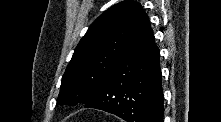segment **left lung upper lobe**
<instances>
[{"instance_id": "5c2ea615", "label": "left lung upper lobe", "mask_w": 221, "mask_h": 122, "mask_svg": "<svg viewBox=\"0 0 221 122\" xmlns=\"http://www.w3.org/2000/svg\"><path fill=\"white\" fill-rule=\"evenodd\" d=\"M141 5L122 1L107 9L80 40L62 77L59 104L88 103L120 58Z\"/></svg>"}]
</instances>
